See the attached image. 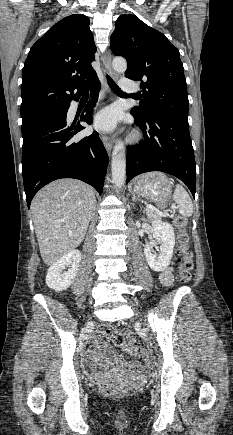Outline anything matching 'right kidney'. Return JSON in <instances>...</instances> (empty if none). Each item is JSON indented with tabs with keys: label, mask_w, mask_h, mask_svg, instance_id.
<instances>
[{
	"label": "right kidney",
	"mask_w": 233,
	"mask_h": 435,
	"mask_svg": "<svg viewBox=\"0 0 233 435\" xmlns=\"http://www.w3.org/2000/svg\"><path fill=\"white\" fill-rule=\"evenodd\" d=\"M80 260V251L73 250L52 264L46 276L47 286L55 291L69 288L77 274ZM65 267H69L68 271L62 272Z\"/></svg>",
	"instance_id": "right-kidney-1"
}]
</instances>
